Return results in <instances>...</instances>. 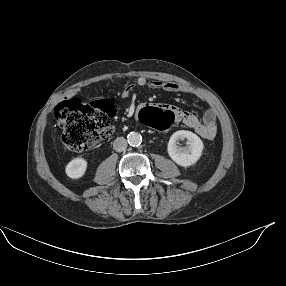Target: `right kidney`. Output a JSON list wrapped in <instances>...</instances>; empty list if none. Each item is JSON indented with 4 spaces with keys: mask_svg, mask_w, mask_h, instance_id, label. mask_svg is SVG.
<instances>
[{
    "mask_svg": "<svg viewBox=\"0 0 286 286\" xmlns=\"http://www.w3.org/2000/svg\"><path fill=\"white\" fill-rule=\"evenodd\" d=\"M87 169V161L83 158H75L66 166V174L72 179L81 178Z\"/></svg>",
    "mask_w": 286,
    "mask_h": 286,
    "instance_id": "1",
    "label": "right kidney"
}]
</instances>
